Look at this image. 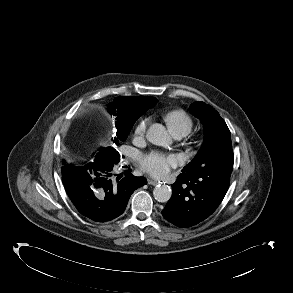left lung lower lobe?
Returning <instances> with one entry per match:
<instances>
[{
	"mask_svg": "<svg viewBox=\"0 0 293 293\" xmlns=\"http://www.w3.org/2000/svg\"><path fill=\"white\" fill-rule=\"evenodd\" d=\"M231 172L181 173L172 184V197L162 215L178 227H190L209 217L223 200Z\"/></svg>",
	"mask_w": 293,
	"mask_h": 293,
	"instance_id": "1",
	"label": "left lung lower lobe"
}]
</instances>
